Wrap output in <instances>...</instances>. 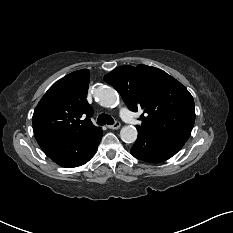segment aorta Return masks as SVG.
Segmentation results:
<instances>
[{
	"instance_id": "1",
	"label": "aorta",
	"mask_w": 233,
	"mask_h": 233,
	"mask_svg": "<svg viewBox=\"0 0 233 233\" xmlns=\"http://www.w3.org/2000/svg\"><path fill=\"white\" fill-rule=\"evenodd\" d=\"M96 97L100 105L104 107H112L117 103L118 93L115 89L108 86H101L96 90ZM137 129L132 126H124L120 131L121 140L125 143H133L137 139Z\"/></svg>"
}]
</instances>
